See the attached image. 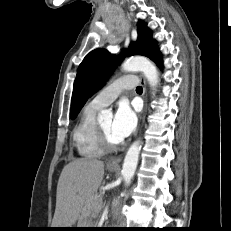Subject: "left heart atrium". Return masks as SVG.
I'll return each mask as SVG.
<instances>
[{
    "instance_id": "39dd6f15",
    "label": "left heart atrium",
    "mask_w": 231,
    "mask_h": 231,
    "mask_svg": "<svg viewBox=\"0 0 231 231\" xmlns=\"http://www.w3.org/2000/svg\"><path fill=\"white\" fill-rule=\"evenodd\" d=\"M137 124V117L130 106L123 102L121 103L115 113L112 122V135L117 142H122L135 129Z\"/></svg>"
}]
</instances>
